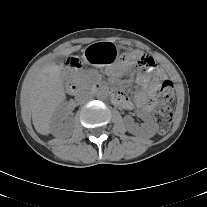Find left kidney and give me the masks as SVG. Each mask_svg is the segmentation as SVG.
Returning a JSON list of instances; mask_svg holds the SVG:
<instances>
[{"mask_svg":"<svg viewBox=\"0 0 207 207\" xmlns=\"http://www.w3.org/2000/svg\"><path fill=\"white\" fill-rule=\"evenodd\" d=\"M138 115L144 121L142 127L136 126L130 117H126V125L128 131L133 135H141L143 137L151 138L155 135L157 126L150 114L145 111H138Z\"/></svg>","mask_w":207,"mask_h":207,"instance_id":"obj_1","label":"left kidney"}]
</instances>
